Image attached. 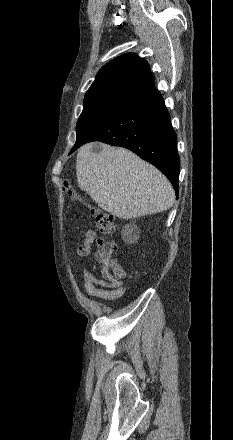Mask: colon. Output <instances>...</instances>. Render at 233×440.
Returning a JSON list of instances; mask_svg holds the SVG:
<instances>
[{
  "instance_id": "obj_1",
  "label": "colon",
  "mask_w": 233,
  "mask_h": 440,
  "mask_svg": "<svg viewBox=\"0 0 233 440\" xmlns=\"http://www.w3.org/2000/svg\"><path fill=\"white\" fill-rule=\"evenodd\" d=\"M63 189L67 196L75 200L78 199L76 192L71 188L68 181H64ZM90 210L100 233L105 236L112 234L115 230L113 217L106 211L94 206H90ZM97 244L96 259L102 266V274L112 286H116L126 276V272L111 260L116 245L104 238L98 239Z\"/></svg>"
}]
</instances>
